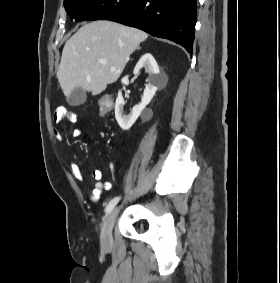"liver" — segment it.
Masks as SVG:
<instances>
[{
  "mask_svg": "<svg viewBox=\"0 0 280 283\" xmlns=\"http://www.w3.org/2000/svg\"><path fill=\"white\" fill-rule=\"evenodd\" d=\"M142 30L111 21L82 26L64 45L57 78L66 97L81 87L92 95L120 77L130 55L145 41ZM100 60H106L101 64Z\"/></svg>",
  "mask_w": 280,
  "mask_h": 283,
  "instance_id": "liver-1",
  "label": "liver"
}]
</instances>
